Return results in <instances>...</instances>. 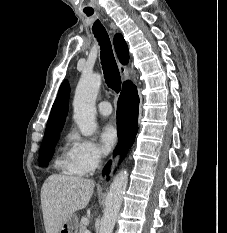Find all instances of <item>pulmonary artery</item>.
Instances as JSON below:
<instances>
[{
  "instance_id": "obj_1",
  "label": "pulmonary artery",
  "mask_w": 227,
  "mask_h": 233,
  "mask_svg": "<svg viewBox=\"0 0 227 233\" xmlns=\"http://www.w3.org/2000/svg\"><path fill=\"white\" fill-rule=\"evenodd\" d=\"M98 111L102 116H109L112 113V106L108 101H102L98 104Z\"/></svg>"
}]
</instances>
